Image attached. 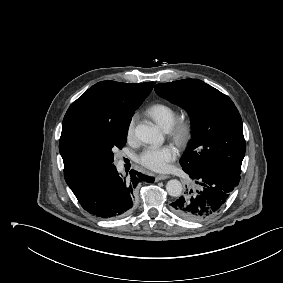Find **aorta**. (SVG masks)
<instances>
[{
    "instance_id": "obj_1",
    "label": "aorta",
    "mask_w": 283,
    "mask_h": 283,
    "mask_svg": "<svg viewBox=\"0 0 283 283\" xmlns=\"http://www.w3.org/2000/svg\"><path fill=\"white\" fill-rule=\"evenodd\" d=\"M135 136L142 142L153 145H160L164 137L157 126L153 124H139L135 128ZM166 190L172 197H178L182 193V184L176 179L169 180Z\"/></svg>"
}]
</instances>
